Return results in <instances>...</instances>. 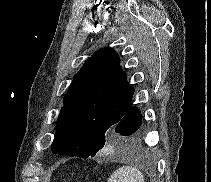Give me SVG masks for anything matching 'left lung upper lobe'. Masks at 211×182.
Here are the masks:
<instances>
[{"label": "left lung upper lobe", "mask_w": 211, "mask_h": 182, "mask_svg": "<svg viewBox=\"0 0 211 182\" xmlns=\"http://www.w3.org/2000/svg\"><path fill=\"white\" fill-rule=\"evenodd\" d=\"M116 52L96 51L74 76L56 122L52 152L87 158L108 144L112 131L132 106Z\"/></svg>", "instance_id": "1"}]
</instances>
